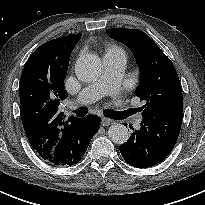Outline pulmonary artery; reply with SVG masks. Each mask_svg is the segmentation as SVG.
Masks as SVG:
<instances>
[{"label": "pulmonary artery", "mask_w": 205, "mask_h": 205, "mask_svg": "<svg viewBox=\"0 0 205 205\" xmlns=\"http://www.w3.org/2000/svg\"><path fill=\"white\" fill-rule=\"evenodd\" d=\"M126 57L124 54H105L103 56V72L101 76L86 85L75 99V103L90 104L106 94L115 98L118 106H124L125 102L120 98V85L124 75ZM141 117L134 121L136 128H140Z\"/></svg>", "instance_id": "pulmonary-artery-1"}]
</instances>
